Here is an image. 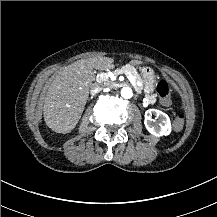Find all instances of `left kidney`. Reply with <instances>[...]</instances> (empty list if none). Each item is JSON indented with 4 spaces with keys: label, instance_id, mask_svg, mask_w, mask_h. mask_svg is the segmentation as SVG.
Returning <instances> with one entry per match:
<instances>
[{
    "label": "left kidney",
    "instance_id": "5707ae66",
    "mask_svg": "<svg viewBox=\"0 0 217 217\" xmlns=\"http://www.w3.org/2000/svg\"><path fill=\"white\" fill-rule=\"evenodd\" d=\"M152 113H155L158 117V122H154L152 119ZM144 124L146 129L155 136H167L171 133V122L169 116L158 110L148 109L144 115Z\"/></svg>",
    "mask_w": 217,
    "mask_h": 217
}]
</instances>
